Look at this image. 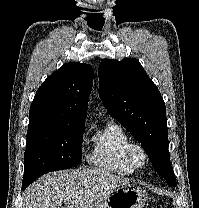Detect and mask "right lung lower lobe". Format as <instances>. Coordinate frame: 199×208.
<instances>
[{
    "label": "right lung lower lobe",
    "mask_w": 199,
    "mask_h": 208,
    "mask_svg": "<svg viewBox=\"0 0 199 208\" xmlns=\"http://www.w3.org/2000/svg\"><path fill=\"white\" fill-rule=\"evenodd\" d=\"M30 183H32V182H30V181H23V184H22V189H24L27 185H29Z\"/></svg>",
    "instance_id": "obj_1"
}]
</instances>
